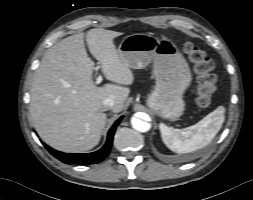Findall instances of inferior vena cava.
Here are the masks:
<instances>
[{
    "mask_svg": "<svg viewBox=\"0 0 253 200\" xmlns=\"http://www.w3.org/2000/svg\"><path fill=\"white\" fill-rule=\"evenodd\" d=\"M115 101L112 98H106L103 100V110L107 111L114 107Z\"/></svg>",
    "mask_w": 253,
    "mask_h": 200,
    "instance_id": "602c4592",
    "label": "inferior vena cava"
}]
</instances>
